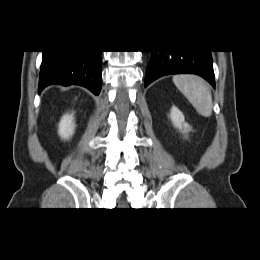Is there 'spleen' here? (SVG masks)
<instances>
[{
	"instance_id": "spleen-1",
	"label": "spleen",
	"mask_w": 260,
	"mask_h": 260,
	"mask_svg": "<svg viewBox=\"0 0 260 260\" xmlns=\"http://www.w3.org/2000/svg\"><path fill=\"white\" fill-rule=\"evenodd\" d=\"M173 82L200 115L211 116L212 95L202 78L195 75H176L173 77Z\"/></svg>"
}]
</instances>
